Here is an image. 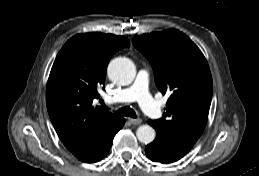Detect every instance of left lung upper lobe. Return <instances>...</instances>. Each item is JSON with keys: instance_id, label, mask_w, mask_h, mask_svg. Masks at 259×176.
Segmentation results:
<instances>
[{"instance_id": "5c2ea615", "label": "left lung upper lobe", "mask_w": 259, "mask_h": 176, "mask_svg": "<svg viewBox=\"0 0 259 176\" xmlns=\"http://www.w3.org/2000/svg\"><path fill=\"white\" fill-rule=\"evenodd\" d=\"M132 42L151 63L159 90L170 93L163 118L153 121L155 130L194 145L206 126L213 92L204 55L176 29L143 34Z\"/></svg>"}]
</instances>
